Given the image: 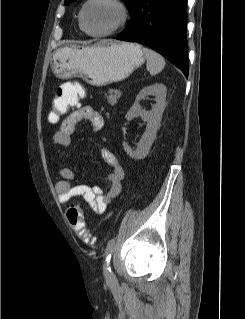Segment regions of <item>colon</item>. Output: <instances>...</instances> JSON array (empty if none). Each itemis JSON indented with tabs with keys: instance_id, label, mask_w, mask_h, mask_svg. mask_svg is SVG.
<instances>
[{
	"instance_id": "obj_1",
	"label": "colon",
	"mask_w": 245,
	"mask_h": 319,
	"mask_svg": "<svg viewBox=\"0 0 245 319\" xmlns=\"http://www.w3.org/2000/svg\"><path fill=\"white\" fill-rule=\"evenodd\" d=\"M82 90L79 87L73 92L62 91L59 89L53 101V111L51 118L57 120L65 115L70 109L78 106ZM66 216L72 229L85 241L90 240V236L86 229L84 215L82 209L76 204H70L66 210Z\"/></svg>"
}]
</instances>
